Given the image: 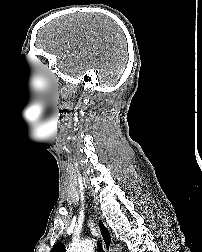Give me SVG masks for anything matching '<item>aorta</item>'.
<instances>
[{"instance_id":"762f6f07","label":"aorta","mask_w":202,"mask_h":252,"mask_svg":"<svg viewBox=\"0 0 202 252\" xmlns=\"http://www.w3.org/2000/svg\"><path fill=\"white\" fill-rule=\"evenodd\" d=\"M94 246L92 241L86 240L80 243H73L67 252H93Z\"/></svg>"}]
</instances>
